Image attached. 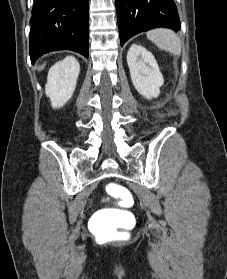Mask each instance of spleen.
I'll return each mask as SVG.
<instances>
[{"label":"spleen","mask_w":227,"mask_h":279,"mask_svg":"<svg viewBox=\"0 0 227 279\" xmlns=\"http://www.w3.org/2000/svg\"><path fill=\"white\" fill-rule=\"evenodd\" d=\"M147 38L157 45L174 55H180L181 42L179 37L169 29H155L147 33Z\"/></svg>","instance_id":"1"}]
</instances>
